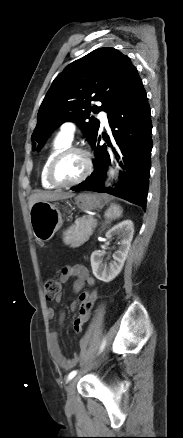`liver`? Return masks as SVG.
Segmentation results:
<instances>
[{
  "label": "liver",
  "instance_id": "liver-1",
  "mask_svg": "<svg viewBox=\"0 0 183 438\" xmlns=\"http://www.w3.org/2000/svg\"><path fill=\"white\" fill-rule=\"evenodd\" d=\"M74 194L72 192H61V191H44V192H38L30 196L29 198V208L32 207V205L39 201H57V200H65L68 198L73 197Z\"/></svg>",
  "mask_w": 183,
  "mask_h": 438
}]
</instances>
